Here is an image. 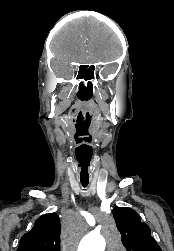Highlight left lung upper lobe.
<instances>
[{
	"label": "left lung upper lobe",
	"instance_id": "obj_1",
	"mask_svg": "<svg viewBox=\"0 0 174 251\" xmlns=\"http://www.w3.org/2000/svg\"><path fill=\"white\" fill-rule=\"evenodd\" d=\"M113 215L127 251H162L151 236L149 226L141 222L136 211L126 207H115Z\"/></svg>",
	"mask_w": 174,
	"mask_h": 251
}]
</instances>
